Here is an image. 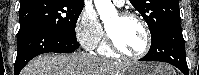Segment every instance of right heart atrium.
I'll return each mask as SVG.
<instances>
[{
  "label": "right heart atrium",
  "mask_w": 199,
  "mask_h": 75,
  "mask_svg": "<svg viewBox=\"0 0 199 75\" xmlns=\"http://www.w3.org/2000/svg\"><path fill=\"white\" fill-rule=\"evenodd\" d=\"M75 32L78 41L86 49L97 48L104 38V31L96 14L84 9L76 23Z\"/></svg>",
  "instance_id": "1"
}]
</instances>
